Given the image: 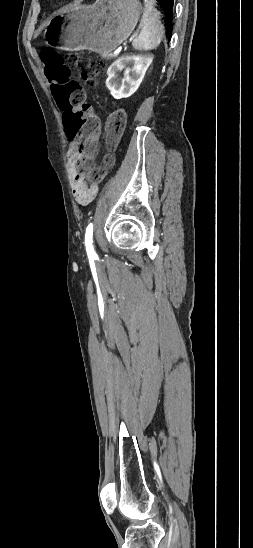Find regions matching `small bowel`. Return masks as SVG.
I'll return each instance as SVG.
<instances>
[{
    "instance_id": "obj_1",
    "label": "small bowel",
    "mask_w": 253,
    "mask_h": 548,
    "mask_svg": "<svg viewBox=\"0 0 253 548\" xmlns=\"http://www.w3.org/2000/svg\"><path fill=\"white\" fill-rule=\"evenodd\" d=\"M83 142V137H72V141L67 150V169L69 172L70 185L75 200L83 206L90 204L98 193V183L87 182L84 175L75 171V164L79 157V151Z\"/></svg>"
}]
</instances>
